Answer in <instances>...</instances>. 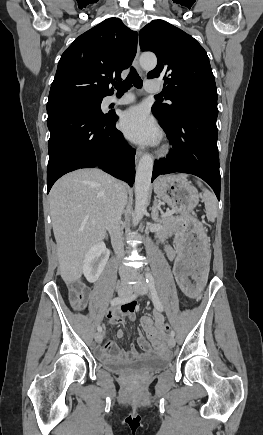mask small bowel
Here are the masks:
<instances>
[{
  "instance_id": "1",
  "label": "small bowel",
  "mask_w": 263,
  "mask_h": 435,
  "mask_svg": "<svg viewBox=\"0 0 263 435\" xmlns=\"http://www.w3.org/2000/svg\"><path fill=\"white\" fill-rule=\"evenodd\" d=\"M166 253L169 259L173 262V272L177 269L176 264L182 260V253L177 254L172 248L167 247ZM88 291V290H87ZM137 304L135 302L118 306L108 312V318L111 324L125 323L126 321H135V310ZM141 324L146 331L149 342L144 336L139 335L137 343L143 353H139L137 348L132 345L128 350L121 349L116 343L107 341L104 345L98 346L96 355L103 361H134L148 355H162L164 353L165 343L163 341L165 336V323L164 317L155 312L154 319L149 316H144L141 319ZM123 332L118 331V338L123 337Z\"/></svg>"
}]
</instances>
